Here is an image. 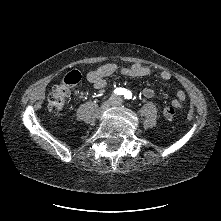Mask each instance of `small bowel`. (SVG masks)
Wrapping results in <instances>:
<instances>
[{"instance_id":"small-bowel-1","label":"small bowel","mask_w":221,"mask_h":221,"mask_svg":"<svg viewBox=\"0 0 221 221\" xmlns=\"http://www.w3.org/2000/svg\"><path fill=\"white\" fill-rule=\"evenodd\" d=\"M120 72L122 75L129 77H145L150 74V69L141 64L135 63L129 67L118 68L116 64L108 63L98 68L91 70L87 74V80L94 85L96 89H102L106 85V78L113 75L116 72ZM160 77L163 80H170L172 75L169 71L163 70L160 73ZM142 94L146 98H152L154 96V91L151 88H144ZM186 98V94L183 90H179L176 94V97L172 101V106L176 110H181L183 101Z\"/></svg>"}]
</instances>
